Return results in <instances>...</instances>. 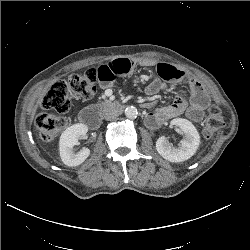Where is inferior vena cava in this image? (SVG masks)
I'll return each instance as SVG.
<instances>
[{
    "label": "inferior vena cava",
    "mask_w": 250,
    "mask_h": 250,
    "mask_svg": "<svg viewBox=\"0 0 250 250\" xmlns=\"http://www.w3.org/2000/svg\"><path fill=\"white\" fill-rule=\"evenodd\" d=\"M119 116V112L115 109H110L108 110L105 114H104V118L107 120V121H111V120H114L116 119L117 117Z\"/></svg>",
    "instance_id": "602c4592"
}]
</instances>
